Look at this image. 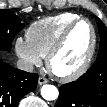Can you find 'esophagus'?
I'll return each instance as SVG.
<instances>
[{"instance_id": "34e87169", "label": "esophagus", "mask_w": 107, "mask_h": 107, "mask_svg": "<svg viewBox=\"0 0 107 107\" xmlns=\"http://www.w3.org/2000/svg\"><path fill=\"white\" fill-rule=\"evenodd\" d=\"M48 83V79H46L45 77H39L38 79V84L39 85H43V84H46Z\"/></svg>"}]
</instances>
